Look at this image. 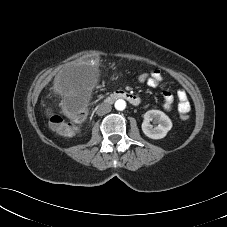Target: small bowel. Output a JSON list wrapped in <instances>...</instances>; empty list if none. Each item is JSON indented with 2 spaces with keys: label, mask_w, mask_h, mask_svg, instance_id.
<instances>
[{
  "label": "small bowel",
  "mask_w": 227,
  "mask_h": 227,
  "mask_svg": "<svg viewBox=\"0 0 227 227\" xmlns=\"http://www.w3.org/2000/svg\"><path fill=\"white\" fill-rule=\"evenodd\" d=\"M162 80V73L160 70H154L151 73V77L149 82L147 83L148 86L150 87H156L159 85V83ZM163 98H164V103H163V108L166 111H170L173 107L174 103V96L170 91H163ZM177 98H178V111L179 113H188L191 109V104L189 102L188 96L185 91L179 90L177 92Z\"/></svg>",
  "instance_id": "c3829d8e"
}]
</instances>
